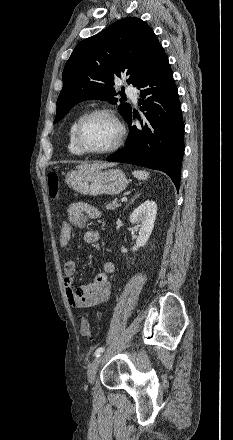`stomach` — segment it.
Masks as SVG:
<instances>
[{"instance_id": "0dacf381", "label": "stomach", "mask_w": 233, "mask_h": 440, "mask_svg": "<svg viewBox=\"0 0 233 440\" xmlns=\"http://www.w3.org/2000/svg\"><path fill=\"white\" fill-rule=\"evenodd\" d=\"M65 181L73 190L90 196L118 195L128 185L124 172L120 169L102 170L97 168H82L71 171Z\"/></svg>"}]
</instances>
